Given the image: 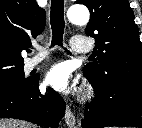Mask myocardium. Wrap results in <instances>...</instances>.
<instances>
[{"label":"myocardium","mask_w":142,"mask_h":128,"mask_svg":"<svg viewBox=\"0 0 142 128\" xmlns=\"http://www.w3.org/2000/svg\"><path fill=\"white\" fill-rule=\"evenodd\" d=\"M90 95H91V89H88L87 96H90Z\"/></svg>","instance_id":"myocardium-1"}]
</instances>
